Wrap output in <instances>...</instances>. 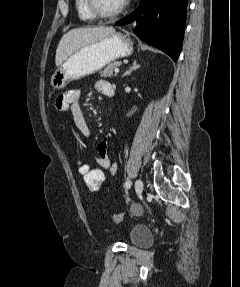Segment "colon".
<instances>
[{
  "label": "colon",
  "instance_id": "1",
  "mask_svg": "<svg viewBox=\"0 0 240 287\" xmlns=\"http://www.w3.org/2000/svg\"><path fill=\"white\" fill-rule=\"evenodd\" d=\"M78 173L83 178L87 187L92 191H98L104 182V173L101 169L95 168L92 164L83 159L77 160ZM111 220L120 223L123 220L122 214L111 215Z\"/></svg>",
  "mask_w": 240,
  "mask_h": 287
}]
</instances>
